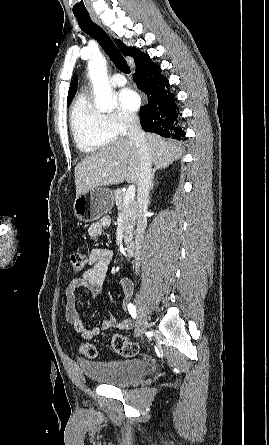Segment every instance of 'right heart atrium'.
I'll use <instances>...</instances> for the list:
<instances>
[{
	"label": "right heart atrium",
	"instance_id": "obj_1",
	"mask_svg": "<svg viewBox=\"0 0 269 445\" xmlns=\"http://www.w3.org/2000/svg\"><path fill=\"white\" fill-rule=\"evenodd\" d=\"M105 117L108 126L116 137L126 135L137 123L135 115L121 110L113 111Z\"/></svg>",
	"mask_w": 269,
	"mask_h": 445
}]
</instances>
